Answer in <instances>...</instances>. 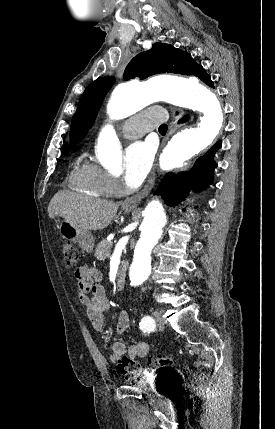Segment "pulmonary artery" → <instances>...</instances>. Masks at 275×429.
Wrapping results in <instances>:
<instances>
[{
	"label": "pulmonary artery",
	"mask_w": 275,
	"mask_h": 429,
	"mask_svg": "<svg viewBox=\"0 0 275 429\" xmlns=\"http://www.w3.org/2000/svg\"><path fill=\"white\" fill-rule=\"evenodd\" d=\"M166 113L161 108H148L130 118L122 128V135L128 139H135L144 135L149 130L164 123Z\"/></svg>",
	"instance_id": "pulmonary-artery-1"
}]
</instances>
